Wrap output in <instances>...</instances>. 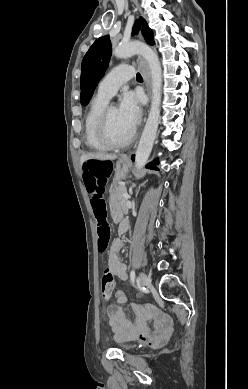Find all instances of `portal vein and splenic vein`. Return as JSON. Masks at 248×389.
<instances>
[{"mask_svg":"<svg viewBox=\"0 0 248 389\" xmlns=\"http://www.w3.org/2000/svg\"><path fill=\"white\" fill-rule=\"evenodd\" d=\"M123 195H124V197L127 198V199L130 198V196H129L126 192H125Z\"/></svg>","mask_w":248,"mask_h":389,"instance_id":"obj_1","label":"portal vein and splenic vein"}]
</instances>
